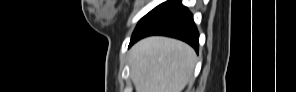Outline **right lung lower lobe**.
Masks as SVG:
<instances>
[{
    "label": "right lung lower lobe",
    "mask_w": 296,
    "mask_h": 92,
    "mask_svg": "<svg viewBox=\"0 0 296 92\" xmlns=\"http://www.w3.org/2000/svg\"><path fill=\"white\" fill-rule=\"evenodd\" d=\"M149 35H165L181 39L196 51L199 48V33L192 14L180 0H168L145 15L135 28L129 47Z\"/></svg>",
    "instance_id": "right-lung-lower-lobe-1"
}]
</instances>
